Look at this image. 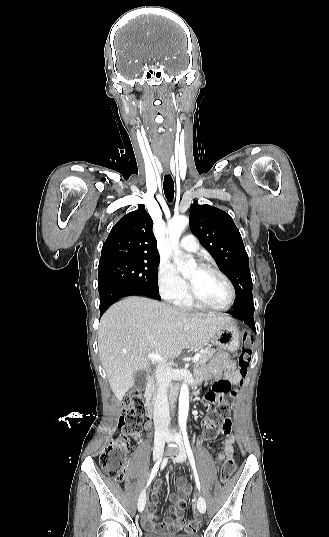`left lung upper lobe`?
<instances>
[{"instance_id": "1", "label": "left lung upper lobe", "mask_w": 329, "mask_h": 537, "mask_svg": "<svg viewBox=\"0 0 329 537\" xmlns=\"http://www.w3.org/2000/svg\"><path fill=\"white\" fill-rule=\"evenodd\" d=\"M190 227L236 291L234 309L254 308L248 255L233 219L226 212L195 201L190 206Z\"/></svg>"}]
</instances>
